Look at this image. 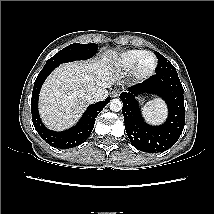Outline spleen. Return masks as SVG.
Returning a JSON list of instances; mask_svg holds the SVG:
<instances>
[{
	"instance_id": "1",
	"label": "spleen",
	"mask_w": 214,
	"mask_h": 214,
	"mask_svg": "<svg viewBox=\"0 0 214 214\" xmlns=\"http://www.w3.org/2000/svg\"><path fill=\"white\" fill-rule=\"evenodd\" d=\"M143 112L145 117L152 122H159L161 121L166 114L164 104L158 100L149 101L143 108Z\"/></svg>"
}]
</instances>
